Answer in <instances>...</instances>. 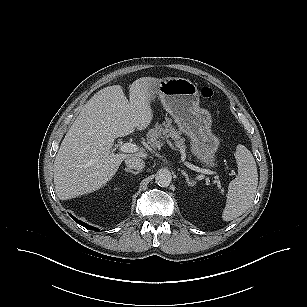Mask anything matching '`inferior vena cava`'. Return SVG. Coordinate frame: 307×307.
Returning <instances> with one entry per match:
<instances>
[{
	"mask_svg": "<svg viewBox=\"0 0 307 307\" xmlns=\"http://www.w3.org/2000/svg\"><path fill=\"white\" fill-rule=\"evenodd\" d=\"M125 163L127 167L136 169L138 171L142 170L145 167V162L141 158L135 156L128 157L125 160Z\"/></svg>",
	"mask_w": 307,
	"mask_h": 307,
	"instance_id": "602c4592",
	"label": "inferior vena cava"
}]
</instances>
